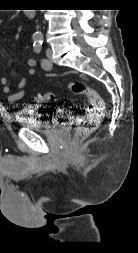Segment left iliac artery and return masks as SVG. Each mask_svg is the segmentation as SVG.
Listing matches in <instances>:
<instances>
[{"label":"left iliac artery","instance_id":"1","mask_svg":"<svg viewBox=\"0 0 138 253\" xmlns=\"http://www.w3.org/2000/svg\"><path fill=\"white\" fill-rule=\"evenodd\" d=\"M34 46V51L37 53V54H40L41 53V50H42V40H37L34 42L33 44ZM41 66L43 69H48L49 67V61L45 58H42L41 59Z\"/></svg>","mask_w":138,"mask_h":253}]
</instances>
